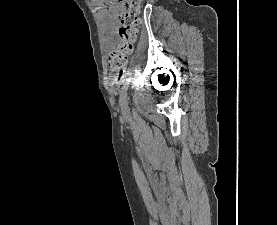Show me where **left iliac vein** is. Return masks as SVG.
<instances>
[{
  "instance_id": "obj_1",
  "label": "left iliac vein",
  "mask_w": 277,
  "mask_h": 225,
  "mask_svg": "<svg viewBox=\"0 0 277 225\" xmlns=\"http://www.w3.org/2000/svg\"><path fill=\"white\" fill-rule=\"evenodd\" d=\"M128 101H129V97L127 94H125L120 101V108L123 116H126L128 114V111H129Z\"/></svg>"
}]
</instances>
